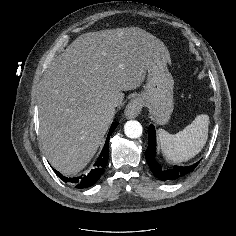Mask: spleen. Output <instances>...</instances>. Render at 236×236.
Wrapping results in <instances>:
<instances>
[{"mask_svg":"<svg viewBox=\"0 0 236 236\" xmlns=\"http://www.w3.org/2000/svg\"><path fill=\"white\" fill-rule=\"evenodd\" d=\"M208 127L209 116L201 114L176 134L159 129L158 136L163 154L174 162L188 161L201 152L206 144Z\"/></svg>","mask_w":236,"mask_h":236,"instance_id":"1","label":"spleen"}]
</instances>
